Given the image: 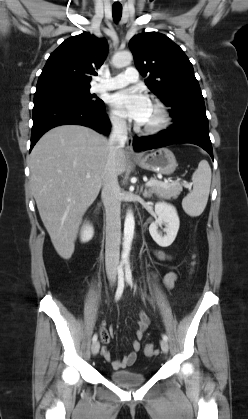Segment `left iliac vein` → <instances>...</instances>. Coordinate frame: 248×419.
Returning a JSON list of instances; mask_svg holds the SVG:
<instances>
[{"mask_svg":"<svg viewBox=\"0 0 248 419\" xmlns=\"http://www.w3.org/2000/svg\"><path fill=\"white\" fill-rule=\"evenodd\" d=\"M160 347L164 353H167L169 350L168 342L164 339L160 341Z\"/></svg>","mask_w":248,"mask_h":419,"instance_id":"left-iliac-vein-1","label":"left iliac vein"}]
</instances>
